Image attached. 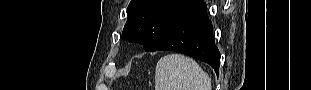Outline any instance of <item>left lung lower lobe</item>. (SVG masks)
<instances>
[{
    "mask_svg": "<svg viewBox=\"0 0 311 90\" xmlns=\"http://www.w3.org/2000/svg\"><path fill=\"white\" fill-rule=\"evenodd\" d=\"M154 51H175L189 55L208 63L218 74L220 53L214 42L206 4L202 2L180 18L150 52Z\"/></svg>",
    "mask_w": 311,
    "mask_h": 90,
    "instance_id": "0a47b994",
    "label": "left lung lower lobe"
}]
</instances>
